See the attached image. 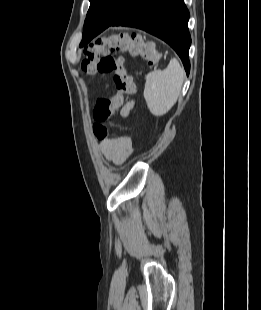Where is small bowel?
I'll return each instance as SVG.
<instances>
[{
  "instance_id": "small-bowel-1",
  "label": "small bowel",
  "mask_w": 261,
  "mask_h": 310,
  "mask_svg": "<svg viewBox=\"0 0 261 310\" xmlns=\"http://www.w3.org/2000/svg\"><path fill=\"white\" fill-rule=\"evenodd\" d=\"M133 102L126 104L122 113L129 114ZM101 149L105 156L116 164L122 163L132 152V140L129 137H106L101 139Z\"/></svg>"
}]
</instances>
